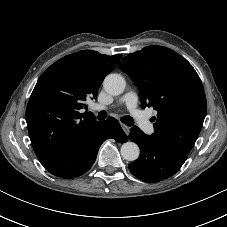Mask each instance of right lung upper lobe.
<instances>
[{
	"instance_id": "1",
	"label": "right lung upper lobe",
	"mask_w": 227,
	"mask_h": 227,
	"mask_svg": "<svg viewBox=\"0 0 227 227\" xmlns=\"http://www.w3.org/2000/svg\"><path fill=\"white\" fill-rule=\"evenodd\" d=\"M122 55L82 50L52 64L39 78L29 99L26 121L29 137L41 164H57L100 121L81 113L85 101L97 97L105 78Z\"/></svg>"
}]
</instances>
